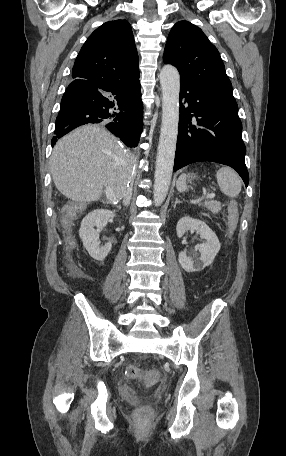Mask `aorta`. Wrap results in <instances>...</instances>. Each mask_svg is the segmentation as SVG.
I'll return each mask as SVG.
<instances>
[{
    "instance_id": "762f6f07",
    "label": "aorta",
    "mask_w": 286,
    "mask_h": 456,
    "mask_svg": "<svg viewBox=\"0 0 286 456\" xmlns=\"http://www.w3.org/2000/svg\"><path fill=\"white\" fill-rule=\"evenodd\" d=\"M162 125L154 175L153 198L158 206L165 200L173 172L179 123L180 75L172 65L161 69Z\"/></svg>"
}]
</instances>
